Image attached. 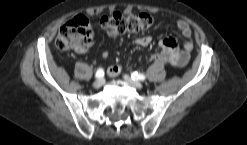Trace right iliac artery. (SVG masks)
<instances>
[{
    "instance_id": "82829eb1",
    "label": "right iliac artery",
    "mask_w": 247,
    "mask_h": 145,
    "mask_svg": "<svg viewBox=\"0 0 247 145\" xmlns=\"http://www.w3.org/2000/svg\"><path fill=\"white\" fill-rule=\"evenodd\" d=\"M104 76V70L102 68L98 69L96 74H95V77L96 78H102Z\"/></svg>"
}]
</instances>
